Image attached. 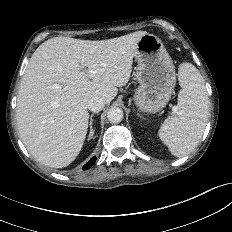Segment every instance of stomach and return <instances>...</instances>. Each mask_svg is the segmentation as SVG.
Returning a JSON list of instances; mask_svg holds the SVG:
<instances>
[{
	"mask_svg": "<svg viewBox=\"0 0 232 232\" xmlns=\"http://www.w3.org/2000/svg\"><path fill=\"white\" fill-rule=\"evenodd\" d=\"M134 57L139 82L134 102L141 111L158 112L166 106L176 85L173 61L161 40L149 33L139 40Z\"/></svg>",
	"mask_w": 232,
	"mask_h": 232,
	"instance_id": "stomach-1",
	"label": "stomach"
}]
</instances>
